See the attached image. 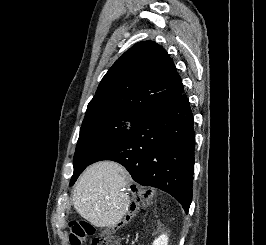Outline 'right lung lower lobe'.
Wrapping results in <instances>:
<instances>
[{
    "label": "right lung lower lobe",
    "mask_w": 266,
    "mask_h": 245,
    "mask_svg": "<svg viewBox=\"0 0 266 245\" xmlns=\"http://www.w3.org/2000/svg\"><path fill=\"white\" fill-rule=\"evenodd\" d=\"M187 96L145 114L115 144L92 162L122 164L133 180L172 195L188 213L192 201L195 132Z\"/></svg>",
    "instance_id": "1"
}]
</instances>
